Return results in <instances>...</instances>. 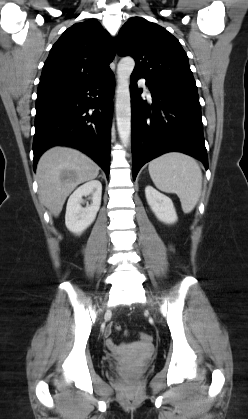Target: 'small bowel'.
<instances>
[{
    "mask_svg": "<svg viewBox=\"0 0 248 419\" xmlns=\"http://www.w3.org/2000/svg\"><path fill=\"white\" fill-rule=\"evenodd\" d=\"M107 333H111L110 328H108ZM107 345L115 352H118L120 350V346L117 343H115L111 338L107 340Z\"/></svg>",
    "mask_w": 248,
    "mask_h": 419,
    "instance_id": "obj_1",
    "label": "small bowel"
}]
</instances>
